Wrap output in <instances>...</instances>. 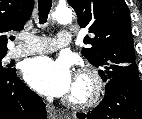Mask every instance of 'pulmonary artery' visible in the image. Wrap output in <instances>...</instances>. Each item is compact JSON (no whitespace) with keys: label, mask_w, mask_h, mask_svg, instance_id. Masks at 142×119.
<instances>
[{"label":"pulmonary artery","mask_w":142,"mask_h":119,"mask_svg":"<svg viewBox=\"0 0 142 119\" xmlns=\"http://www.w3.org/2000/svg\"><path fill=\"white\" fill-rule=\"evenodd\" d=\"M20 39L23 43L15 46L10 51V56L12 58L53 52L59 48L68 46L72 40V37L69 31L62 30L55 38L23 34L20 36Z\"/></svg>","instance_id":"1"}]
</instances>
